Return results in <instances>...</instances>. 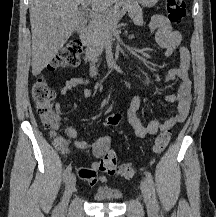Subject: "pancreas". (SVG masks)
<instances>
[{
	"instance_id": "cf45deb5",
	"label": "pancreas",
	"mask_w": 216,
	"mask_h": 217,
	"mask_svg": "<svg viewBox=\"0 0 216 217\" xmlns=\"http://www.w3.org/2000/svg\"><path fill=\"white\" fill-rule=\"evenodd\" d=\"M128 12L136 25H143L142 9L137 0H122L100 19L93 20L86 31L85 44L97 57L102 54L109 31L115 25L117 13L121 8Z\"/></svg>"
}]
</instances>
